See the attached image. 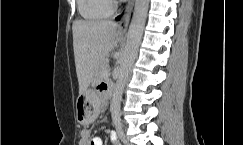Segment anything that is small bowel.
Wrapping results in <instances>:
<instances>
[{
  "instance_id": "small-bowel-1",
  "label": "small bowel",
  "mask_w": 243,
  "mask_h": 145,
  "mask_svg": "<svg viewBox=\"0 0 243 145\" xmlns=\"http://www.w3.org/2000/svg\"><path fill=\"white\" fill-rule=\"evenodd\" d=\"M107 91V87L101 89ZM110 140L112 143L117 144L118 137L115 132L110 133ZM79 145H103V141L100 137L92 136L91 131L84 129L81 131Z\"/></svg>"
}]
</instances>
